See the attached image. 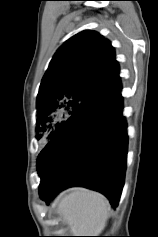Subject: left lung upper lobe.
Here are the masks:
<instances>
[{"mask_svg":"<svg viewBox=\"0 0 158 237\" xmlns=\"http://www.w3.org/2000/svg\"><path fill=\"white\" fill-rule=\"evenodd\" d=\"M118 83L119 65L110 41L90 30L67 40L53 56L39 88L37 139L52 130L47 136L51 140L69 116Z\"/></svg>","mask_w":158,"mask_h":237,"instance_id":"left-lung-upper-lobe-1","label":"left lung upper lobe"}]
</instances>
